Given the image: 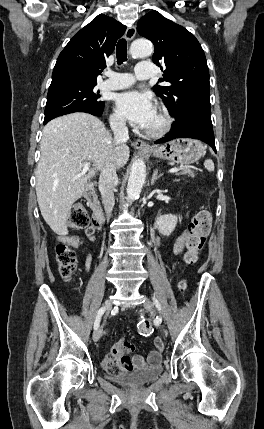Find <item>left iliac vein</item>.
Returning a JSON list of instances; mask_svg holds the SVG:
<instances>
[{
    "label": "left iliac vein",
    "mask_w": 264,
    "mask_h": 429,
    "mask_svg": "<svg viewBox=\"0 0 264 429\" xmlns=\"http://www.w3.org/2000/svg\"><path fill=\"white\" fill-rule=\"evenodd\" d=\"M143 305L146 309L152 310L153 305L152 302L149 299H145L143 302ZM163 332L165 334V337L168 339L170 337V333L168 331V327H163Z\"/></svg>",
    "instance_id": "left-iliac-vein-1"
}]
</instances>
